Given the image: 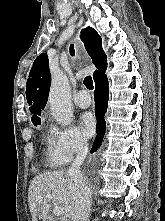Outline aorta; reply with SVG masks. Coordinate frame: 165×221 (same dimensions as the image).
Returning a JSON list of instances; mask_svg holds the SVG:
<instances>
[{"label": "aorta", "mask_w": 165, "mask_h": 221, "mask_svg": "<svg viewBox=\"0 0 165 221\" xmlns=\"http://www.w3.org/2000/svg\"><path fill=\"white\" fill-rule=\"evenodd\" d=\"M48 101L54 119L64 126L69 125L73 117V106L65 74L57 73L52 77Z\"/></svg>", "instance_id": "1"}]
</instances>
